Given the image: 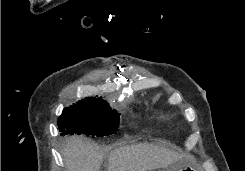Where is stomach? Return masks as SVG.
<instances>
[{
  "label": "stomach",
  "instance_id": "1",
  "mask_svg": "<svg viewBox=\"0 0 245 171\" xmlns=\"http://www.w3.org/2000/svg\"><path fill=\"white\" fill-rule=\"evenodd\" d=\"M159 171H196V170L194 169L192 165L184 164V165L177 166V167H174V166L166 167Z\"/></svg>",
  "mask_w": 245,
  "mask_h": 171
}]
</instances>
